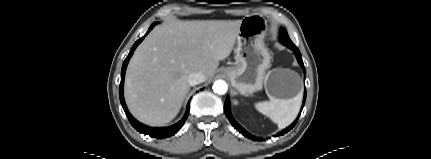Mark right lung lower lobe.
Listing matches in <instances>:
<instances>
[{
    "instance_id": "obj_1",
    "label": "right lung lower lobe",
    "mask_w": 431,
    "mask_h": 159,
    "mask_svg": "<svg viewBox=\"0 0 431 159\" xmlns=\"http://www.w3.org/2000/svg\"><path fill=\"white\" fill-rule=\"evenodd\" d=\"M154 27V25H152L149 29V31ZM148 31V32H149ZM144 39V37L140 38L131 48L127 58L125 59L123 65H122V70H121V82H120V87H119V95H120V102L122 104V107L131 123V125L140 133H144L146 135H149L151 137H156V138H166V137H170L172 135H174L175 133H177V131H179V129L183 126V124L185 123L187 117H188V113H189V103L187 105V110L186 113L184 115V117L182 118L181 121H179L178 123H176L175 125H172L170 127H165V128H152V127H148L146 125H143L141 123H139L136 119H134L132 117V115L129 113L125 101H124V97H123V84H124V76H125V71H126V67L128 64L129 59L131 58L135 48L138 46V44Z\"/></svg>"
}]
</instances>
